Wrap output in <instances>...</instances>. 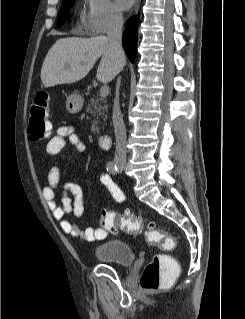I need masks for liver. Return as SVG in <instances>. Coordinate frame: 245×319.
<instances>
[{"mask_svg": "<svg viewBox=\"0 0 245 319\" xmlns=\"http://www.w3.org/2000/svg\"><path fill=\"white\" fill-rule=\"evenodd\" d=\"M101 58L96 77L103 83L112 81L126 60H118L106 36L61 38L48 51L41 69L44 87L71 84L83 79Z\"/></svg>", "mask_w": 245, "mask_h": 319, "instance_id": "1", "label": "liver"}]
</instances>
